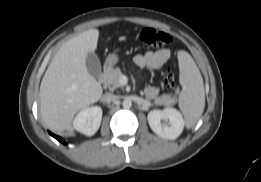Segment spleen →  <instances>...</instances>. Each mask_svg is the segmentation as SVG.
Returning a JSON list of instances; mask_svg holds the SVG:
<instances>
[{
	"label": "spleen",
	"mask_w": 261,
	"mask_h": 182,
	"mask_svg": "<svg viewBox=\"0 0 261 182\" xmlns=\"http://www.w3.org/2000/svg\"><path fill=\"white\" fill-rule=\"evenodd\" d=\"M180 84L179 108L182 111L187 128H193L201 117L205 107V91L201 73L186 51L178 52Z\"/></svg>",
	"instance_id": "obj_1"
}]
</instances>
